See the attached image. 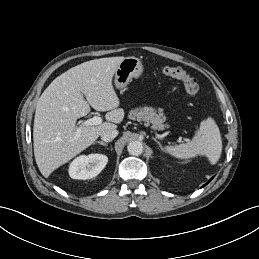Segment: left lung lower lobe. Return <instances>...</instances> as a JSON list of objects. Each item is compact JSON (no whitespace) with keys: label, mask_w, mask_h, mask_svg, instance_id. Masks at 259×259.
Returning a JSON list of instances; mask_svg holds the SVG:
<instances>
[{"label":"left lung lower lobe","mask_w":259,"mask_h":259,"mask_svg":"<svg viewBox=\"0 0 259 259\" xmlns=\"http://www.w3.org/2000/svg\"><path fill=\"white\" fill-rule=\"evenodd\" d=\"M212 180V178L209 180V182ZM206 185V184H205ZM205 185H203L202 187H204Z\"/></svg>","instance_id":"0a47b994"}]
</instances>
